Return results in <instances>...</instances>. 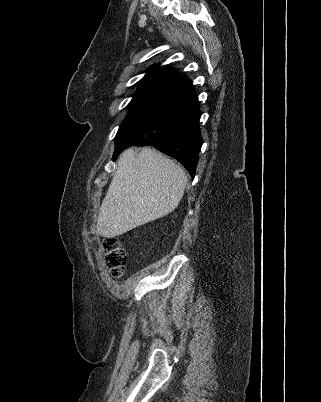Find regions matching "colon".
Here are the masks:
<instances>
[{"label":"colon","mask_w":321,"mask_h":402,"mask_svg":"<svg viewBox=\"0 0 321 402\" xmlns=\"http://www.w3.org/2000/svg\"><path fill=\"white\" fill-rule=\"evenodd\" d=\"M104 260L113 278H120L124 273L127 254L120 241L114 237H108L103 242Z\"/></svg>","instance_id":"5ec220e1"}]
</instances>
